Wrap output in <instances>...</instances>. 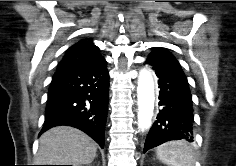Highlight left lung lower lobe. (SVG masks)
Masks as SVG:
<instances>
[{"label":"left lung lower lobe","instance_id":"0a47b994","mask_svg":"<svg viewBox=\"0 0 236 166\" xmlns=\"http://www.w3.org/2000/svg\"><path fill=\"white\" fill-rule=\"evenodd\" d=\"M158 77L159 113L145 144L144 153L170 140L193 141L194 114L189 84L180 64L172 55L148 57Z\"/></svg>","mask_w":236,"mask_h":166}]
</instances>
